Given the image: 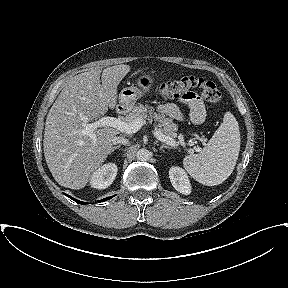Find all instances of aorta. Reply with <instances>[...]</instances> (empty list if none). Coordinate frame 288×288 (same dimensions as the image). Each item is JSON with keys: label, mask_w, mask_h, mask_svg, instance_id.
Here are the masks:
<instances>
[{"label": "aorta", "mask_w": 288, "mask_h": 288, "mask_svg": "<svg viewBox=\"0 0 288 288\" xmlns=\"http://www.w3.org/2000/svg\"><path fill=\"white\" fill-rule=\"evenodd\" d=\"M136 157L140 161H146L150 158V152L147 149H139L136 153Z\"/></svg>", "instance_id": "obj_1"}]
</instances>
